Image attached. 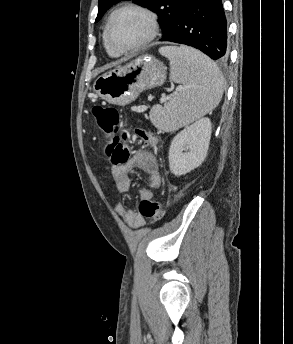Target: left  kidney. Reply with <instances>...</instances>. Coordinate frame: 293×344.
Here are the masks:
<instances>
[{"label":"left kidney","instance_id":"obj_1","mask_svg":"<svg viewBox=\"0 0 293 344\" xmlns=\"http://www.w3.org/2000/svg\"><path fill=\"white\" fill-rule=\"evenodd\" d=\"M211 130L210 119L204 117L173 138L168 158L170 171L175 176L185 175L202 164L207 155Z\"/></svg>","mask_w":293,"mask_h":344}]
</instances>
